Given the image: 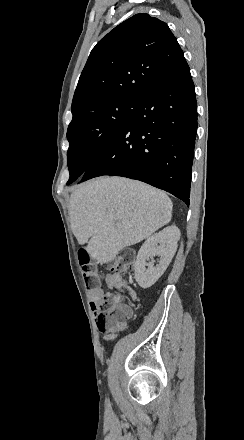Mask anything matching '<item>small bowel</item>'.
Instances as JSON below:
<instances>
[{"label": "small bowel", "instance_id": "c3829d8e", "mask_svg": "<svg viewBox=\"0 0 244 440\" xmlns=\"http://www.w3.org/2000/svg\"><path fill=\"white\" fill-rule=\"evenodd\" d=\"M105 281H106L107 286L112 289H119L124 286V282L122 280V277L119 274H108L106 276ZM102 294H103V289H101V288H97V289L91 291V293H90V295L93 299L102 295ZM129 294H130L131 299H135V294L132 291H130ZM104 339L106 341H112L115 338L113 337V335L106 334Z\"/></svg>", "mask_w": 244, "mask_h": 440}]
</instances>
